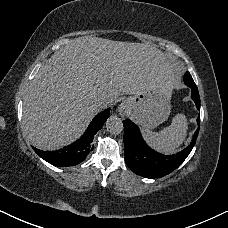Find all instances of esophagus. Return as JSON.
I'll return each mask as SVG.
<instances>
[{
  "label": "esophagus",
  "mask_w": 228,
  "mask_h": 228,
  "mask_svg": "<svg viewBox=\"0 0 228 228\" xmlns=\"http://www.w3.org/2000/svg\"><path fill=\"white\" fill-rule=\"evenodd\" d=\"M118 112L121 116H125L127 113V104L125 101H123L121 103V105L119 106Z\"/></svg>",
  "instance_id": "esophagus-1"
}]
</instances>
